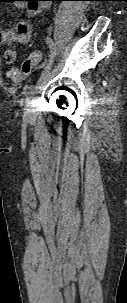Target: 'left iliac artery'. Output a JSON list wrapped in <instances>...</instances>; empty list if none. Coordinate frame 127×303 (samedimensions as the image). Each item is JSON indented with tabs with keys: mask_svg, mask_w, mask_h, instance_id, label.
Returning a JSON list of instances; mask_svg holds the SVG:
<instances>
[{
	"mask_svg": "<svg viewBox=\"0 0 127 303\" xmlns=\"http://www.w3.org/2000/svg\"><path fill=\"white\" fill-rule=\"evenodd\" d=\"M46 42H47V44H48V46L50 48V53H51L50 57H49V61L46 64V66L44 67V69L42 70L40 78L38 79V81L36 83H34L33 85L30 86L31 93H33L34 91H36V89L38 88V84L40 82L41 77L44 74H46L47 72H49V70L51 69V66L53 65V62H54V58H55V55H56L55 45H54L52 39L49 38V37H47Z\"/></svg>",
	"mask_w": 127,
	"mask_h": 303,
	"instance_id": "1",
	"label": "left iliac artery"
}]
</instances>
